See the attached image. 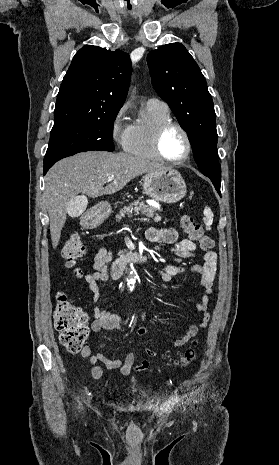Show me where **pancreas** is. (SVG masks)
Instances as JSON below:
<instances>
[{
  "label": "pancreas",
  "mask_w": 279,
  "mask_h": 465,
  "mask_svg": "<svg viewBox=\"0 0 279 465\" xmlns=\"http://www.w3.org/2000/svg\"><path fill=\"white\" fill-rule=\"evenodd\" d=\"M157 208L153 206H148L143 202H139V200L135 201L134 203L130 204L129 206H125L123 209L120 210V213L116 215L117 221H120L121 218L128 216L130 217L132 214L144 215L143 220L150 222L153 219L155 222H159L161 217L156 213Z\"/></svg>",
  "instance_id": "1"
}]
</instances>
